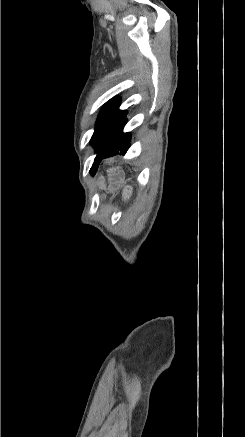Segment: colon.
<instances>
[{"mask_svg": "<svg viewBox=\"0 0 245 437\" xmlns=\"http://www.w3.org/2000/svg\"><path fill=\"white\" fill-rule=\"evenodd\" d=\"M130 194H131V188H126V190L124 191V196L125 197H129L130 196Z\"/></svg>", "mask_w": 245, "mask_h": 437, "instance_id": "1", "label": "colon"}]
</instances>
